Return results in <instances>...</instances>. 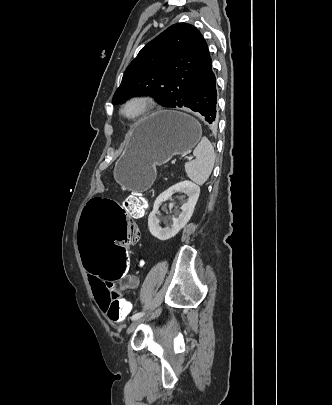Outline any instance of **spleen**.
<instances>
[{
	"instance_id": "1",
	"label": "spleen",
	"mask_w": 332,
	"mask_h": 405,
	"mask_svg": "<svg viewBox=\"0 0 332 405\" xmlns=\"http://www.w3.org/2000/svg\"><path fill=\"white\" fill-rule=\"evenodd\" d=\"M195 160L185 164V171L190 180L203 185L209 178L215 162V152L212 143L203 137L193 151Z\"/></svg>"
}]
</instances>
